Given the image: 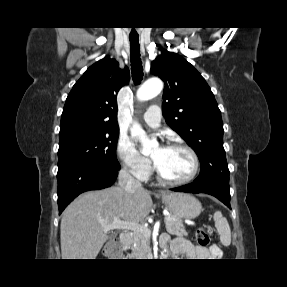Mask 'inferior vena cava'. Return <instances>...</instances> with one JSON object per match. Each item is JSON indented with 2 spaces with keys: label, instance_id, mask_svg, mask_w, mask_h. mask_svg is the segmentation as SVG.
Segmentation results:
<instances>
[{
  "label": "inferior vena cava",
  "instance_id": "602c4592",
  "mask_svg": "<svg viewBox=\"0 0 287 287\" xmlns=\"http://www.w3.org/2000/svg\"><path fill=\"white\" fill-rule=\"evenodd\" d=\"M118 183L128 194H133L136 190L143 189L141 183L132 177L125 168L119 172Z\"/></svg>",
  "mask_w": 287,
  "mask_h": 287
}]
</instances>
